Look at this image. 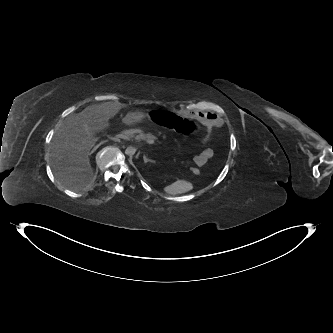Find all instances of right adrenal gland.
Segmentation results:
<instances>
[{"label":"right adrenal gland","instance_id":"1","mask_svg":"<svg viewBox=\"0 0 333 333\" xmlns=\"http://www.w3.org/2000/svg\"><path fill=\"white\" fill-rule=\"evenodd\" d=\"M106 142V141H105ZM104 142V143H105ZM100 146V144H98V145H96L93 149H92V151L90 152V155L91 154H93L96 150H97V148Z\"/></svg>","mask_w":333,"mask_h":333}]
</instances>
